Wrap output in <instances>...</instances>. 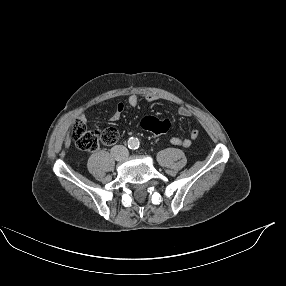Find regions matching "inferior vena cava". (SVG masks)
I'll return each instance as SVG.
<instances>
[{
    "mask_svg": "<svg viewBox=\"0 0 286 286\" xmlns=\"http://www.w3.org/2000/svg\"><path fill=\"white\" fill-rule=\"evenodd\" d=\"M111 154L116 160L122 161L128 157L129 151L123 145H116L111 149Z\"/></svg>",
    "mask_w": 286,
    "mask_h": 286,
    "instance_id": "obj_1",
    "label": "inferior vena cava"
}]
</instances>
